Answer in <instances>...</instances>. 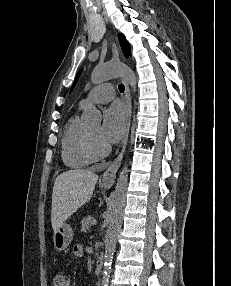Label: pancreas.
Here are the masks:
<instances>
[{"instance_id": "1", "label": "pancreas", "mask_w": 231, "mask_h": 286, "mask_svg": "<svg viewBox=\"0 0 231 286\" xmlns=\"http://www.w3.org/2000/svg\"><path fill=\"white\" fill-rule=\"evenodd\" d=\"M92 219H93V217L90 215H88L82 219V221H81V231L82 232H87L89 230Z\"/></svg>"}]
</instances>
